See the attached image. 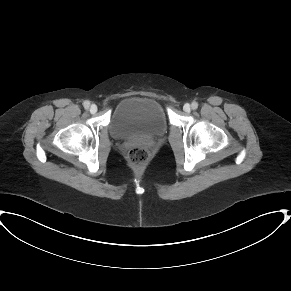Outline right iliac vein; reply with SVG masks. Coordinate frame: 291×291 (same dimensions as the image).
I'll use <instances>...</instances> for the list:
<instances>
[{
  "label": "right iliac vein",
  "instance_id": "63e3f726",
  "mask_svg": "<svg viewBox=\"0 0 291 291\" xmlns=\"http://www.w3.org/2000/svg\"><path fill=\"white\" fill-rule=\"evenodd\" d=\"M89 110H90V113L95 114L97 112L98 108H97V106L95 104H92L90 106Z\"/></svg>",
  "mask_w": 291,
  "mask_h": 291
}]
</instances>
